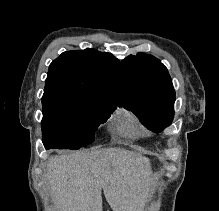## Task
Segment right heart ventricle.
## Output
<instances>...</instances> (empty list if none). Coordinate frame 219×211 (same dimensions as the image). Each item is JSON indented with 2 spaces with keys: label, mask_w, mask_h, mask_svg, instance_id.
Segmentation results:
<instances>
[{
  "label": "right heart ventricle",
  "mask_w": 219,
  "mask_h": 211,
  "mask_svg": "<svg viewBox=\"0 0 219 211\" xmlns=\"http://www.w3.org/2000/svg\"><path fill=\"white\" fill-rule=\"evenodd\" d=\"M117 131L122 136L128 138L141 137L146 133V130L138 117L128 111L122 112L121 120L117 125Z\"/></svg>",
  "instance_id": "obj_1"
}]
</instances>
